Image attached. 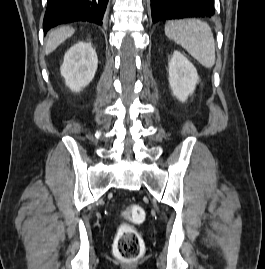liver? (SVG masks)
Returning <instances> with one entry per match:
<instances>
[{
    "instance_id": "6515ba94",
    "label": "liver",
    "mask_w": 265,
    "mask_h": 269,
    "mask_svg": "<svg viewBox=\"0 0 265 269\" xmlns=\"http://www.w3.org/2000/svg\"><path fill=\"white\" fill-rule=\"evenodd\" d=\"M75 29L69 26L60 27L49 33L48 40L46 42L45 54L48 55L53 52L61 43H63L68 37L73 35Z\"/></svg>"
}]
</instances>
